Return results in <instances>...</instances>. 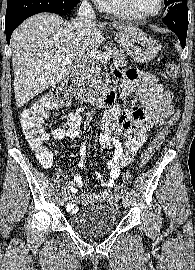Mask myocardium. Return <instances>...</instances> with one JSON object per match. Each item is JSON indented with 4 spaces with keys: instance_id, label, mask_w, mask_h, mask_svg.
Wrapping results in <instances>:
<instances>
[{
    "instance_id": "f54148a6",
    "label": "myocardium",
    "mask_w": 195,
    "mask_h": 270,
    "mask_svg": "<svg viewBox=\"0 0 195 270\" xmlns=\"http://www.w3.org/2000/svg\"><path fill=\"white\" fill-rule=\"evenodd\" d=\"M123 3L125 5V7L135 16L137 17L138 19H141V20H145V19H150V18H153V17H156L157 15H159L161 13V11L163 10L164 8V0H159V6H158V9L153 12V13H150V14H141V13H138L135 8L133 7L132 3H131V0H123Z\"/></svg>"
}]
</instances>
